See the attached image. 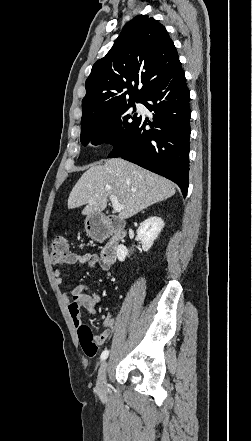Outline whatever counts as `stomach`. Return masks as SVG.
<instances>
[{
    "instance_id": "1",
    "label": "stomach",
    "mask_w": 252,
    "mask_h": 441,
    "mask_svg": "<svg viewBox=\"0 0 252 441\" xmlns=\"http://www.w3.org/2000/svg\"><path fill=\"white\" fill-rule=\"evenodd\" d=\"M91 226H92V217L88 216L85 220V229L87 233H91Z\"/></svg>"
}]
</instances>
